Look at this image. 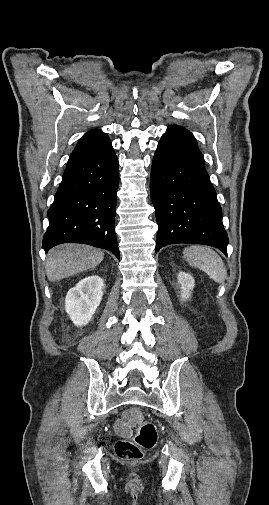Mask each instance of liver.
I'll return each mask as SVG.
<instances>
[{"label": "liver", "mask_w": 269, "mask_h": 505, "mask_svg": "<svg viewBox=\"0 0 269 505\" xmlns=\"http://www.w3.org/2000/svg\"><path fill=\"white\" fill-rule=\"evenodd\" d=\"M101 250L82 244H62L51 249L46 259V275L54 282L99 265Z\"/></svg>", "instance_id": "liver-1"}]
</instances>
